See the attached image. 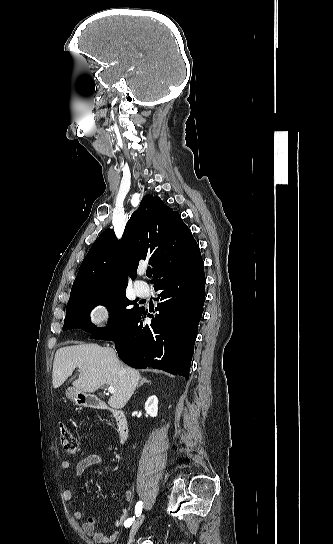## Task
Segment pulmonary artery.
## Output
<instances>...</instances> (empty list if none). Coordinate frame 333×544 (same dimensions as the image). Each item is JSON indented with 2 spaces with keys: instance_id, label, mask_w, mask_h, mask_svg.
Returning a JSON list of instances; mask_svg holds the SVG:
<instances>
[{
  "instance_id": "pulmonary-artery-1",
  "label": "pulmonary artery",
  "mask_w": 333,
  "mask_h": 544,
  "mask_svg": "<svg viewBox=\"0 0 333 544\" xmlns=\"http://www.w3.org/2000/svg\"><path fill=\"white\" fill-rule=\"evenodd\" d=\"M135 291L139 296H146L149 292V288L144 282L135 283Z\"/></svg>"
}]
</instances>
